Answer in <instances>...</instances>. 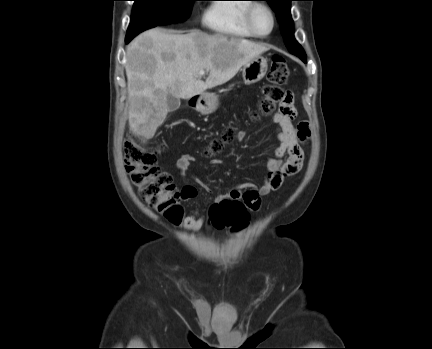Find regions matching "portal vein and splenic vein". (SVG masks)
Listing matches in <instances>:
<instances>
[{"mask_svg":"<svg viewBox=\"0 0 432 349\" xmlns=\"http://www.w3.org/2000/svg\"><path fill=\"white\" fill-rule=\"evenodd\" d=\"M205 74V71H203V70H201L200 72H199V76L201 77V76H203Z\"/></svg>","mask_w":432,"mask_h":349,"instance_id":"18ae733b","label":"portal vein and splenic vein"}]
</instances>
